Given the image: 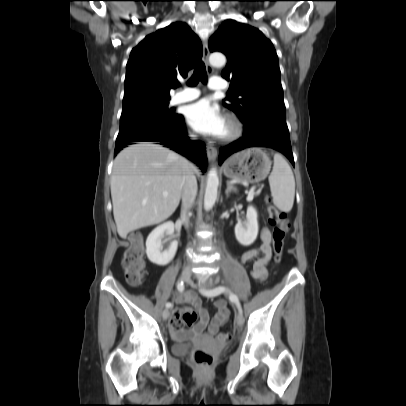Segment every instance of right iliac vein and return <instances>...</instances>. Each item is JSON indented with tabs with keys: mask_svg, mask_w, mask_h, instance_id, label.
<instances>
[{
	"mask_svg": "<svg viewBox=\"0 0 406 406\" xmlns=\"http://www.w3.org/2000/svg\"><path fill=\"white\" fill-rule=\"evenodd\" d=\"M190 277H191V270H190L189 268H186V269H184V270L182 271L180 278H181L182 281L187 282V281L190 280ZM169 314H170L169 309H167V308L164 309V311H163V313H162L163 319H164V320H167L168 317H169Z\"/></svg>",
	"mask_w": 406,
	"mask_h": 406,
	"instance_id": "obj_1",
	"label": "right iliac vein"
}]
</instances>
